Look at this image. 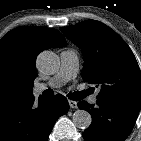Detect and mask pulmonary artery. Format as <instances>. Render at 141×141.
I'll return each instance as SVG.
<instances>
[{
    "label": "pulmonary artery",
    "instance_id": "pulmonary-artery-1",
    "mask_svg": "<svg viewBox=\"0 0 141 141\" xmlns=\"http://www.w3.org/2000/svg\"><path fill=\"white\" fill-rule=\"evenodd\" d=\"M61 66L59 71L46 83L37 84L34 87L35 93H41L47 88H58L68 81L74 79L79 69V58L75 50L67 49L60 53ZM97 94L89 98L90 103H96Z\"/></svg>",
    "mask_w": 141,
    "mask_h": 141
}]
</instances>
